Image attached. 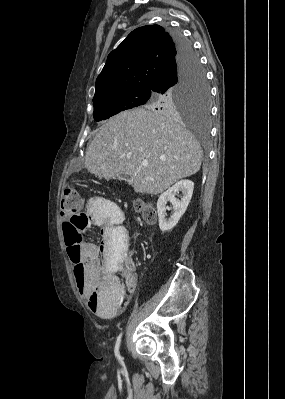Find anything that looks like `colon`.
Wrapping results in <instances>:
<instances>
[{
  "label": "colon",
  "mask_w": 285,
  "mask_h": 399,
  "mask_svg": "<svg viewBox=\"0 0 285 399\" xmlns=\"http://www.w3.org/2000/svg\"><path fill=\"white\" fill-rule=\"evenodd\" d=\"M60 207L63 214L66 216L61 225V229L72 264L73 284L75 289L79 290L83 282L84 267L78 264L81 253V248L78 243L82 239L81 232L82 228L87 225V218L82 210V203L76 185H70L64 189ZM135 207L138 210L144 211V218L146 221L151 222L156 218L155 210L145 207L143 202L136 201ZM119 228L118 259H122L127 255L128 246L123 223L119 224Z\"/></svg>",
  "instance_id": "1"
}]
</instances>
